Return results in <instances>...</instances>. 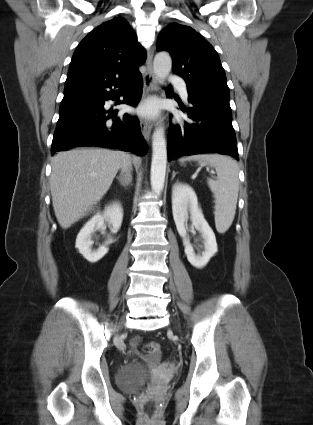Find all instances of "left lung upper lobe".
I'll return each mask as SVG.
<instances>
[{
  "instance_id": "obj_1",
  "label": "left lung upper lobe",
  "mask_w": 313,
  "mask_h": 425,
  "mask_svg": "<svg viewBox=\"0 0 313 425\" xmlns=\"http://www.w3.org/2000/svg\"><path fill=\"white\" fill-rule=\"evenodd\" d=\"M158 51H168L172 70L181 76L187 89L198 94L230 98L226 75L212 45L193 28L172 23L160 33Z\"/></svg>"
}]
</instances>
